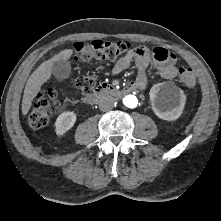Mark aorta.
I'll return each instance as SVG.
<instances>
[{"mask_svg": "<svg viewBox=\"0 0 221 221\" xmlns=\"http://www.w3.org/2000/svg\"><path fill=\"white\" fill-rule=\"evenodd\" d=\"M123 103L128 108H135L138 105V100L134 95H127L123 98Z\"/></svg>", "mask_w": 221, "mask_h": 221, "instance_id": "1", "label": "aorta"}]
</instances>
